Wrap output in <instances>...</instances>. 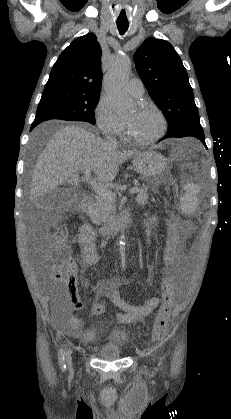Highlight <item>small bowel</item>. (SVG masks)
I'll use <instances>...</instances> for the list:
<instances>
[{"instance_id": "small-bowel-1", "label": "small bowel", "mask_w": 231, "mask_h": 419, "mask_svg": "<svg viewBox=\"0 0 231 419\" xmlns=\"http://www.w3.org/2000/svg\"><path fill=\"white\" fill-rule=\"evenodd\" d=\"M157 227V219L151 217L144 222V230L147 241H151L152 234ZM94 230L91 225L83 224L79 230L77 241L83 250V260L80 264L81 281L86 283L85 272L87 269L99 261L96 245L94 241ZM165 262V261H164ZM173 262L166 263L165 267L168 270ZM67 294L71 305L74 309H81L83 304L77 294L76 283L74 288L67 287ZM97 296L99 298L109 299L121 312L115 315V320L120 325H127L139 321L144 317L150 315L160 304L159 297H153L143 301L140 304H132L125 300L117 289V285L108 279H101L97 284ZM98 304L94 305L97 307ZM96 314V313H95ZM61 329L69 336L79 339L84 343L90 344L95 340V332L93 330H83V322L76 316H71L63 320L60 324ZM115 337V336H114ZM116 338V337H115Z\"/></svg>"}]
</instances>
